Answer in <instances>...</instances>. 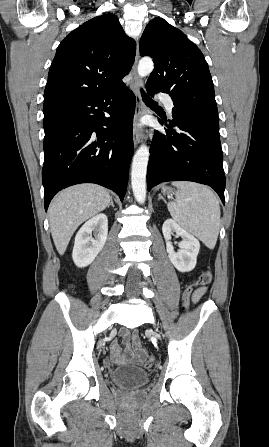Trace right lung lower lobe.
Returning <instances> with one entry per match:
<instances>
[{
  "label": "right lung lower lobe",
  "instance_id": "right-lung-lower-lobe-1",
  "mask_svg": "<svg viewBox=\"0 0 269 447\" xmlns=\"http://www.w3.org/2000/svg\"><path fill=\"white\" fill-rule=\"evenodd\" d=\"M134 112L135 95L123 82L93 94L44 102L45 210L59 190L78 183L100 184L123 201L134 152Z\"/></svg>",
  "mask_w": 269,
  "mask_h": 447
}]
</instances>
